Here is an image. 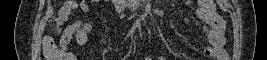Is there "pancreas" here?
Masks as SVG:
<instances>
[{
    "label": "pancreas",
    "mask_w": 267,
    "mask_h": 60,
    "mask_svg": "<svg viewBox=\"0 0 267 60\" xmlns=\"http://www.w3.org/2000/svg\"><path fill=\"white\" fill-rule=\"evenodd\" d=\"M124 2H125L126 4H128V5H130L131 7L135 8V6H134V4H133V3L135 2L134 0H125Z\"/></svg>",
    "instance_id": "obj_1"
}]
</instances>
